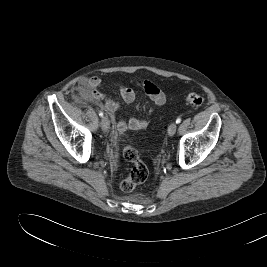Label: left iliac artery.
<instances>
[{"mask_svg":"<svg viewBox=\"0 0 267 267\" xmlns=\"http://www.w3.org/2000/svg\"><path fill=\"white\" fill-rule=\"evenodd\" d=\"M181 122V118L176 119V123L179 124Z\"/></svg>","mask_w":267,"mask_h":267,"instance_id":"left-iliac-artery-1","label":"left iliac artery"}]
</instances>
